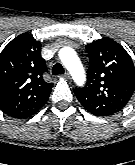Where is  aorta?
I'll use <instances>...</instances> for the list:
<instances>
[{
	"label": "aorta",
	"mask_w": 135,
	"mask_h": 165,
	"mask_svg": "<svg viewBox=\"0 0 135 165\" xmlns=\"http://www.w3.org/2000/svg\"><path fill=\"white\" fill-rule=\"evenodd\" d=\"M59 57L73 76L77 85H83L85 81V73L83 66L75 52L71 47H64L59 51Z\"/></svg>",
	"instance_id": "1"
}]
</instances>
